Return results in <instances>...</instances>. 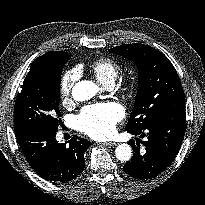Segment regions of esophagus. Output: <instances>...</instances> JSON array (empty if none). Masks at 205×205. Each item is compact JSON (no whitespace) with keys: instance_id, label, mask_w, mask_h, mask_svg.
<instances>
[{"instance_id":"34e87169","label":"esophagus","mask_w":205,"mask_h":205,"mask_svg":"<svg viewBox=\"0 0 205 205\" xmlns=\"http://www.w3.org/2000/svg\"><path fill=\"white\" fill-rule=\"evenodd\" d=\"M103 146H107V147H114L117 145V143L115 142H104L102 143Z\"/></svg>"}]
</instances>
